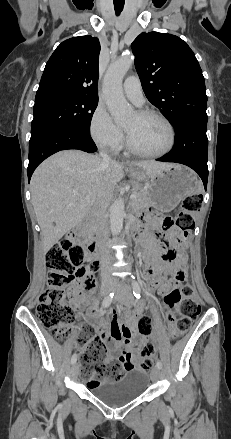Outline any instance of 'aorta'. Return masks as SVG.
<instances>
[{"label": "aorta", "mask_w": 231, "mask_h": 439, "mask_svg": "<svg viewBox=\"0 0 231 439\" xmlns=\"http://www.w3.org/2000/svg\"><path fill=\"white\" fill-rule=\"evenodd\" d=\"M132 64L133 57L129 54L123 55L110 64L104 77L103 97L116 123L127 121L133 114V109L127 103L122 89L123 77ZM124 216V201L117 199L110 209V230L113 235L119 234L123 229Z\"/></svg>", "instance_id": "obj_1"}]
</instances>
